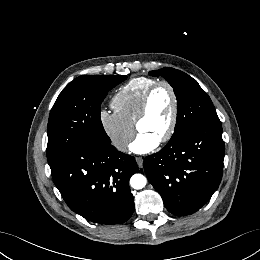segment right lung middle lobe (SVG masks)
<instances>
[{
    "instance_id": "right-lung-middle-lobe-1",
    "label": "right lung middle lobe",
    "mask_w": 260,
    "mask_h": 260,
    "mask_svg": "<svg viewBox=\"0 0 260 260\" xmlns=\"http://www.w3.org/2000/svg\"><path fill=\"white\" fill-rule=\"evenodd\" d=\"M123 75H84L69 83L58 96L48 121L47 159L54 164L68 151L83 147H111L100 117V106Z\"/></svg>"
}]
</instances>
